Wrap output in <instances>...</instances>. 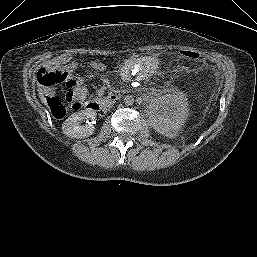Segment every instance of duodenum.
<instances>
[{
	"instance_id": "obj_1",
	"label": "duodenum",
	"mask_w": 257,
	"mask_h": 257,
	"mask_svg": "<svg viewBox=\"0 0 257 257\" xmlns=\"http://www.w3.org/2000/svg\"><path fill=\"white\" fill-rule=\"evenodd\" d=\"M120 98V93L117 91L110 92L105 97L98 100H90L86 103V110L97 112L102 108H107L113 105Z\"/></svg>"
}]
</instances>
